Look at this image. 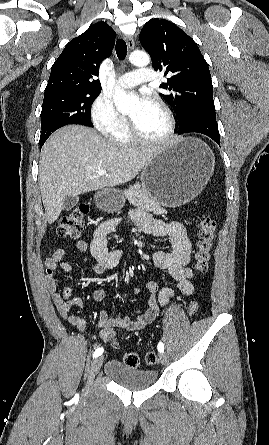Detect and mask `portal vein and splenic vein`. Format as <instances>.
I'll return each mask as SVG.
<instances>
[{
    "label": "portal vein and splenic vein",
    "mask_w": 269,
    "mask_h": 445,
    "mask_svg": "<svg viewBox=\"0 0 269 445\" xmlns=\"http://www.w3.org/2000/svg\"><path fill=\"white\" fill-rule=\"evenodd\" d=\"M98 176H104L107 175V171L105 169H100L97 171Z\"/></svg>",
    "instance_id": "obj_1"
}]
</instances>
